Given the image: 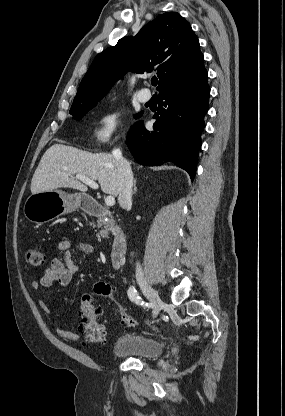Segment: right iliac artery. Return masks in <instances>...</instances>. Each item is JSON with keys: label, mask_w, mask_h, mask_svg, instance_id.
Instances as JSON below:
<instances>
[{"label": "right iliac artery", "mask_w": 285, "mask_h": 416, "mask_svg": "<svg viewBox=\"0 0 285 416\" xmlns=\"http://www.w3.org/2000/svg\"><path fill=\"white\" fill-rule=\"evenodd\" d=\"M128 297H129V299H130L132 302H135L137 305H141V306H143V305H147V303H145V302L141 299V297L139 296V294H138V292H137V290L135 289V287H134V286H131V287L128 289Z\"/></svg>", "instance_id": "right-iliac-artery-1"}]
</instances>
